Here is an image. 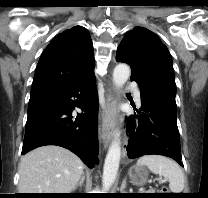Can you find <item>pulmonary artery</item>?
<instances>
[{
	"label": "pulmonary artery",
	"mask_w": 208,
	"mask_h": 198,
	"mask_svg": "<svg viewBox=\"0 0 208 198\" xmlns=\"http://www.w3.org/2000/svg\"><path fill=\"white\" fill-rule=\"evenodd\" d=\"M134 93V98L137 103H140V90L135 85H131Z\"/></svg>",
	"instance_id": "pulmonary-artery-1"
}]
</instances>
